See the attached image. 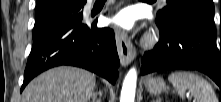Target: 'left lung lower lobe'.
<instances>
[{"mask_svg": "<svg viewBox=\"0 0 221 102\" xmlns=\"http://www.w3.org/2000/svg\"><path fill=\"white\" fill-rule=\"evenodd\" d=\"M160 40L144 54L141 74L159 70L193 69L211 77L221 89V48L216 30L187 16L158 23Z\"/></svg>", "mask_w": 221, "mask_h": 102, "instance_id": "1", "label": "left lung lower lobe"}]
</instances>
